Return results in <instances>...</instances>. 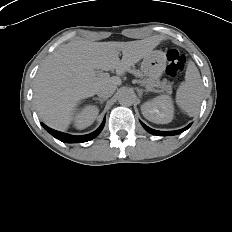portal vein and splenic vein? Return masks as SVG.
Here are the masks:
<instances>
[{
  "label": "portal vein and splenic vein",
  "instance_id": "18ae733b",
  "mask_svg": "<svg viewBox=\"0 0 232 232\" xmlns=\"http://www.w3.org/2000/svg\"><path fill=\"white\" fill-rule=\"evenodd\" d=\"M99 76L101 78H108L110 75H109V73H101Z\"/></svg>",
  "mask_w": 232,
  "mask_h": 232
}]
</instances>
